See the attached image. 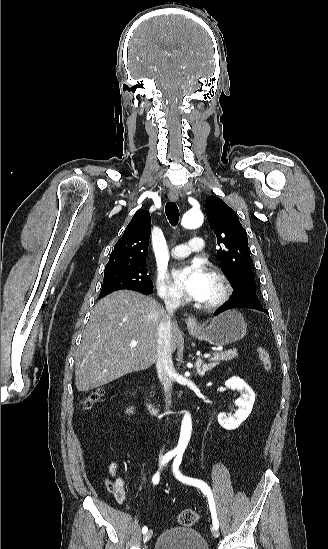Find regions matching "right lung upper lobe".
<instances>
[{"instance_id": "1", "label": "right lung upper lobe", "mask_w": 328, "mask_h": 549, "mask_svg": "<svg viewBox=\"0 0 328 549\" xmlns=\"http://www.w3.org/2000/svg\"><path fill=\"white\" fill-rule=\"evenodd\" d=\"M151 233L150 214L146 210L137 211L123 236L115 244L105 270H112L139 262H145Z\"/></svg>"}]
</instances>
